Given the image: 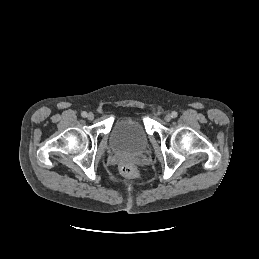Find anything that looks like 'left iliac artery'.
Masks as SVG:
<instances>
[{
  "mask_svg": "<svg viewBox=\"0 0 259 259\" xmlns=\"http://www.w3.org/2000/svg\"><path fill=\"white\" fill-rule=\"evenodd\" d=\"M171 115H172L173 118H176V117L178 116V114H177L176 111H173V112L171 113Z\"/></svg>",
  "mask_w": 259,
  "mask_h": 259,
  "instance_id": "obj_1",
  "label": "left iliac artery"
}]
</instances>
